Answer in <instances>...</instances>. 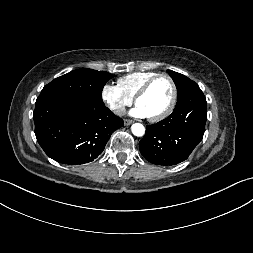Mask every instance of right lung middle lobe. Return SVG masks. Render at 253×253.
<instances>
[{"mask_svg":"<svg viewBox=\"0 0 253 253\" xmlns=\"http://www.w3.org/2000/svg\"><path fill=\"white\" fill-rule=\"evenodd\" d=\"M112 77V74L104 71L77 69L54 79L43 88L41 94H58L104 104L102 90Z\"/></svg>","mask_w":253,"mask_h":253,"instance_id":"obj_1","label":"right lung middle lobe"}]
</instances>
